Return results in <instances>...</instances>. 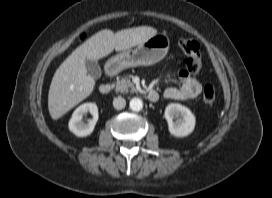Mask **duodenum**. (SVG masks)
Here are the masks:
<instances>
[{
  "instance_id": "410a0bca",
  "label": "duodenum",
  "mask_w": 272,
  "mask_h": 198,
  "mask_svg": "<svg viewBox=\"0 0 272 198\" xmlns=\"http://www.w3.org/2000/svg\"><path fill=\"white\" fill-rule=\"evenodd\" d=\"M115 72H116V70H115L113 67H111V66L108 67V69H107L108 75L114 76ZM111 90H112V87H111L110 84H102V85L99 87V92H100V94H102V95H107V94H109V93L111 92ZM147 98H148L149 101L155 102V101H157V99H158V94H157L156 91L151 90V91L148 92Z\"/></svg>"
}]
</instances>
